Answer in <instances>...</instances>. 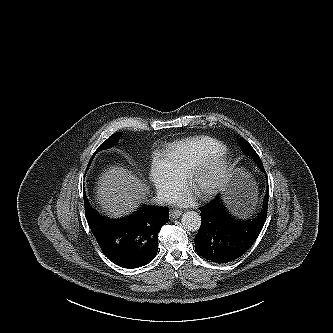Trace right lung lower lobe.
<instances>
[{"instance_id": "98d812e1", "label": "right lung lower lobe", "mask_w": 333, "mask_h": 333, "mask_svg": "<svg viewBox=\"0 0 333 333\" xmlns=\"http://www.w3.org/2000/svg\"><path fill=\"white\" fill-rule=\"evenodd\" d=\"M84 206L92 233L113 263L124 268H137L155 258L158 233L169 220L167 207L143 205L126 217L111 219L95 211L85 194Z\"/></svg>"}]
</instances>
